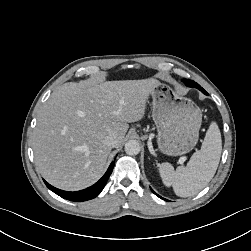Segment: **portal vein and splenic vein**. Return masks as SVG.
<instances>
[{
    "label": "portal vein and splenic vein",
    "instance_id": "obj_1",
    "mask_svg": "<svg viewBox=\"0 0 251 251\" xmlns=\"http://www.w3.org/2000/svg\"><path fill=\"white\" fill-rule=\"evenodd\" d=\"M183 162H184V160L182 159V160H181V163H183Z\"/></svg>",
    "mask_w": 251,
    "mask_h": 251
}]
</instances>
